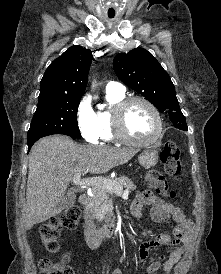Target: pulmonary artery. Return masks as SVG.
<instances>
[{
    "label": "pulmonary artery",
    "mask_w": 221,
    "mask_h": 274,
    "mask_svg": "<svg viewBox=\"0 0 221 274\" xmlns=\"http://www.w3.org/2000/svg\"><path fill=\"white\" fill-rule=\"evenodd\" d=\"M106 91L109 92H116V93H124L125 87L123 84L116 82V81H110L106 85Z\"/></svg>",
    "instance_id": "1"
}]
</instances>
